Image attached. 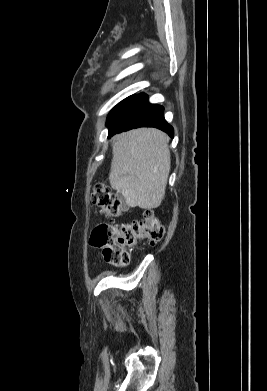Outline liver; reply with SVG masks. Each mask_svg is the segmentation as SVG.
<instances>
[{
	"mask_svg": "<svg viewBox=\"0 0 267 391\" xmlns=\"http://www.w3.org/2000/svg\"><path fill=\"white\" fill-rule=\"evenodd\" d=\"M109 181L130 207L160 206L170 172L169 137L154 128H140L113 138Z\"/></svg>",
	"mask_w": 267,
	"mask_h": 391,
	"instance_id": "6515ba94",
	"label": "liver"
}]
</instances>
